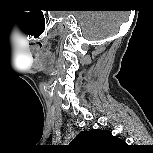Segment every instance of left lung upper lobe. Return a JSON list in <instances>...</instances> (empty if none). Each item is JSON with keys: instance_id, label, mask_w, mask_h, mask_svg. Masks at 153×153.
Wrapping results in <instances>:
<instances>
[{"instance_id": "left-lung-upper-lobe-1", "label": "left lung upper lobe", "mask_w": 153, "mask_h": 153, "mask_svg": "<svg viewBox=\"0 0 153 153\" xmlns=\"http://www.w3.org/2000/svg\"><path fill=\"white\" fill-rule=\"evenodd\" d=\"M70 145L86 150L104 151L124 146L125 142L113 136L108 130L96 129L80 132Z\"/></svg>"}]
</instances>
